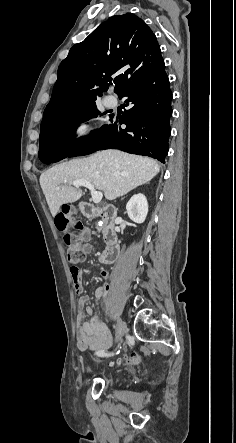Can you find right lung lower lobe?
<instances>
[{"label":"right lung lower lobe","instance_id":"right-lung-lower-lobe-1","mask_svg":"<svg viewBox=\"0 0 236 443\" xmlns=\"http://www.w3.org/2000/svg\"><path fill=\"white\" fill-rule=\"evenodd\" d=\"M127 97L130 109L110 125H104L89 137L71 145H53L39 149V158L45 164L66 157L81 156L101 149H120L128 153L146 155L164 163L171 134L172 92L165 72L163 58L149 71L131 82L121 94ZM113 119V114L110 115ZM126 128L122 129L121 125Z\"/></svg>","mask_w":236,"mask_h":443}]
</instances>
